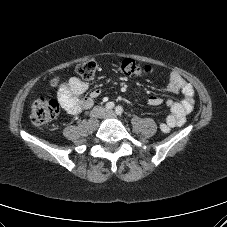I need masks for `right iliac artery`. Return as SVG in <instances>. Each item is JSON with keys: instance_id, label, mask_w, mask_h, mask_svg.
<instances>
[{"instance_id": "obj_1", "label": "right iliac artery", "mask_w": 227, "mask_h": 227, "mask_svg": "<svg viewBox=\"0 0 227 227\" xmlns=\"http://www.w3.org/2000/svg\"><path fill=\"white\" fill-rule=\"evenodd\" d=\"M114 106H115L114 102H108L106 104V109L112 110L114 108Z\"/></svg>"}]
</instances>
